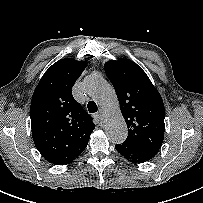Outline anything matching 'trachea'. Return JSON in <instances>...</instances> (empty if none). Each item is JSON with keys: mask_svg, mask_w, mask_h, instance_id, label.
I'll use <instances>...</instances> for the list:
<instances>
[{"mask_svg": "<svg viewBox=\"0 0 203 203\" xmlns=\"http://www.w3.org/2000/svg\"><path fill=\"white\" fill-rule=\"evenodd\" d=\"M87 108L90 113H95L98 110V107L94 101L88 102Z\"/></svg>", "mask_w": 203, "mask_h": 203, "instance_id": "trachea-1", "label": "trachea"}]
</instances>
